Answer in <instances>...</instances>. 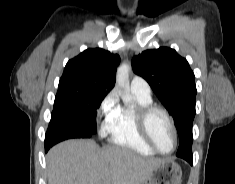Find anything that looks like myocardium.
Segmentation results:
<instances>
[{
    "label": "myocardium",
    "instance_id": "f54148a6",
    "mask_svg": "<svg viewBox=\"0 0 235 184\" xmlns=\"http://www.w3.org/2000/svg\"><path fill=\"white\" fill-rule=\"evenodd\" d=\"M156 112H160L165 116L174 135L175 145H174L173 150L168 154L163 153L157 148L152 137L151 128H150V120H151L152 115ZM136 122H137V127L141 135L144 137V139L147 141L151 149L156 154L160 156H171L175 153L178 147V132H177L174 119L167 109L156 104H151L145 107H138L136 109Z\"/></svg>",
    "mask_w": 235,
    "mask_h": 184
}]
</instances>
